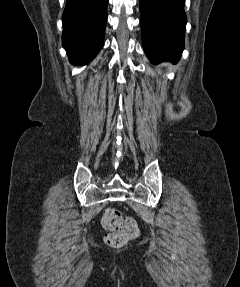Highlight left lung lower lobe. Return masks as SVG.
<instances>
[{
  "label": "left lung lower lobe",
  "instance_id": "left-lung-lower-lobe-1",
  "mask_svg": "<svg viewBox=\"0 0 240 287\" xmlns=\"http://www.w3.org/2000/svg\"><path fill=\"white\" fill-rule=\"evenodd\" d=\"M142 43L152 63L177 62L184 49V0H139Z\"/></svg>",
  "mask_w": 240,
  "mask_h": 287
}]
</instances>
